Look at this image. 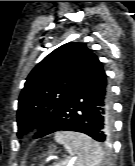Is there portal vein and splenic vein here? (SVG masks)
<instances>
[{"instance_id":"obj_1","label":"portal vein and splenic vein","mask_w":135,"mask_h":166,"mask_svg":"<svg viewBox=\"0 0 135 166\" xmlns=\"http://www.w3.org/2000/svg\"><path fill=\"white\" fill-rule=\"evenodd\" d=\"M67 164H72V160H65L62 161L61 163H55L54 166H65Z\"/></svg>"}]
</instances>
